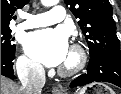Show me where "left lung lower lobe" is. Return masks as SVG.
<instances>
[{
  "mask_svg": "<svg viewBox=\"0 0 121 94\" xmlns=\"http://www.w3.org/2000/svg\"><path fill=\"white\" fill-rule=\"evenodd\" d=\"M109 82L121 87V55L105 54L91 57L87 72L70 83V87L92 82Z\"/></svg>",
  "mask_w": 121,
  "mask_h": 94,
  "instance_id": "1",
  "label": "left lung lower lobe"
}]
</instances>
